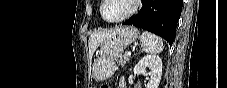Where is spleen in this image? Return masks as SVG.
Instances as JSON below:
<instances>
[{"instance_id":"obj_1","label":"spleen","mask_w":227,"mask_h":88,"mask_svg":"<svg viewBox=\"0 0 227 88\" xmlns=\"http://www.w3.org/2000/svg\"><path fill=\"white\" fill-rule=\"evenodd\" d=\"M142 51L157 54L163 50V41L157 35L144 31L140 37Z\"/></svg>"}]
</instances>
